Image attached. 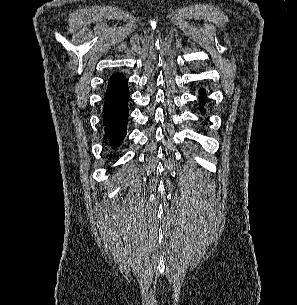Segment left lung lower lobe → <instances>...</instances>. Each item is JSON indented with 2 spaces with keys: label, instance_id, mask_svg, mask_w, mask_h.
Wrapping results in <instances>:
<instances>
[{
  "label": "left lung lower lobe",
  "instance_id": "1",
  "mask_svg": "<svg viewBox=\"0 0 297 305\" xmlns=\"http://www.w3.org/2000/svg\"><path fill=\"white\" fill-rule=\"evenodd\" d=\"M200 94H201V96H204V95H205V90L202 89V90L200 91Z\"/></svg>",
  "mask_w": 297,
  "mask_h": 305
}]
</instances>
